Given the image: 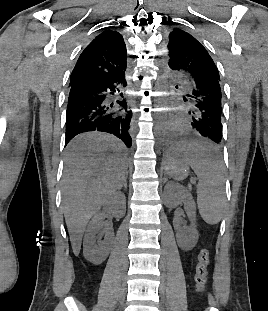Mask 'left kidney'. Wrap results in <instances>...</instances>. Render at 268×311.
Returning a JSON list of instances; mask_svg holds the SVG:
<instances>
[{"mask_svg": "<svg viewBox=\"0 0 268 311\" xmlns=\"http://www.w3.org/2000/svg\"><path fill=\"white\" fill-rule=\"evenodd\" d=\"M165 205L175 208L184 204V209L191 221L190 226H183L177 233V243L183 251H189L197 244L199 235L195 225V207L191 195L185 188L174 182H170L165 187Z\"/></svg>", "mask_w": 268, "mask_h": 311, "instance_id": "obj_1", "label": "left kidney"}]
</instances>
